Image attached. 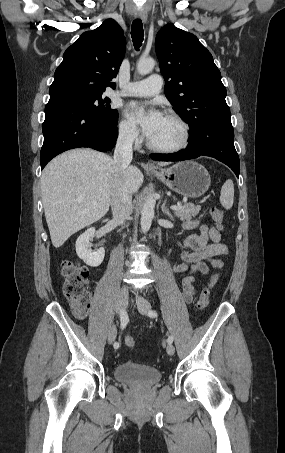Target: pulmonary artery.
<instances>
[{"label": "pulmonary artery", "mask_w": 285, "mask_h": 453, "mask_svg": "<svg viewBox=\"0 0 285 453\" xmlns=\"http://www.w3.org/2000/svg\"><path fill=\"white\" fill-rule=\"evenodd\" d=\"M163 79L159 74H152L146 79L128 83L118 95L148 97L160 93Z\"/></svg>", "instance_id": "obj_1"}]
</instances>
